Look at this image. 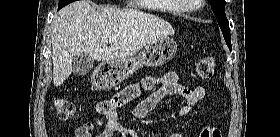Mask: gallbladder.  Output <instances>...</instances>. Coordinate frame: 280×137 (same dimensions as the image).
<instances>
[{"label":"gallbladder","instance_id":"bac80fb5","mask_svg":"<svg viewBox=\"0 0 280 137\" xmlns=\"http://www.w3.org/2000/svg\"><path fill=\"white\" fill-rule=\"evenodd\" d=\"M93 66L94 59L86 53H81L73 58L72 72L74 75L83 76L88 74Z\"/></svg>","mask_w":280,"mask_h":137}]
</instances>
